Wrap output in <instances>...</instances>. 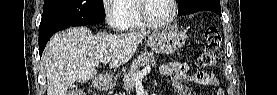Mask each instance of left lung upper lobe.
Listing matches in <instances>:
<instances>
[{"label":"left lung upper lobe","mask_w":277,"mask_h":95,"mask_svg":"<svg viewBox=\"0 0 277 95\" xmlns=\"http://www.w3.org/2000/svg\"><path fill=\"white\" fill-rule=\"evenodd\" d=\"M179 6L178 15L209 10L221 15L220 0H176Z\"/></svg>","instance_id":"obj_1"}]
</instances>
